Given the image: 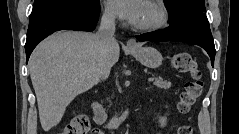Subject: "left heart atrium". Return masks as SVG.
Returning a JSON list of instances; mask_svg holds the SVG:
<instances>
[{
    "label": "left heart atrium",
    "instance_id": "obj_1",
    "mask_svg": "<svg viewBox=\"0 0 239 134\" xmlns=\"http://www.w3.org/2000/svg\"><path fill=\"white\" fill-rule=\"evenodd\" d=\"M113 4L120 17L130 24H137L143 7L140 0H115Z\"/></svg>",
    "mask_w": 239,
    "mask_h": 134
}]
</instances>
